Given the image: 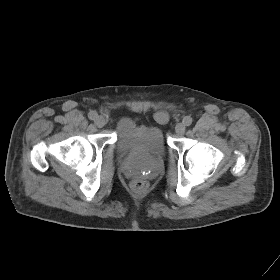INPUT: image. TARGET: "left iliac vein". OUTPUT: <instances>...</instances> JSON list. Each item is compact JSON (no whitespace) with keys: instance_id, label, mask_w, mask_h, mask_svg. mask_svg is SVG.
I'll return each instance as SVG.
<instances>
[{"instance_id":"1","label":"left iliac vein","mask_w":280,"mask_h":280,"mask_svg":"<svg viewBox=\"0 0 280 280\" xmlns=\"http://www.w3.org/2000/svg\"><path fill=\"white\" fill-rule=\"evenodd\" d=\"M185 130H186V127L183 123H178L176 126H175V132L178 134V135H183L185 133Z\"/></svg>"}]
</instances>
